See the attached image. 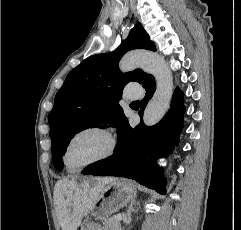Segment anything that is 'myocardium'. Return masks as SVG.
Wrapping results in <instances>:
<instances>
[{
	"label": "myocardium",
	"instance_id": "obj_1",
	"mask_svg": "<svg viewBox=\"0 0 241 230\" xmlns=\"http://www.w3.org/2000/svg\"><path fill=\"white\" fill-rule=\"evenodd\" d=\"M88 131H98V132L103 133L109 140V147H108L107 151L104 154H102L101 156L94 158L84 164H81L80 166H78L76 168H70L68 165V162H67V153H68L69 146L75 137H77L78 135H80L84 132H88ZM116 149H117L116 138L107 126H105L101 123L89 124V125H86L80 129H78L67 140L64 150H63L62 160H63V163H64L65 167L67 168V170L75 172V171H79L81 169H84L86 167H89L91 165H94L96 163H99V162H102V161H105V160L111 158L115 154Z\"/></svg>",
	"mask_w": 241,
	"mask_h": 230
}]
</instances>
